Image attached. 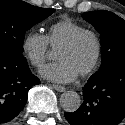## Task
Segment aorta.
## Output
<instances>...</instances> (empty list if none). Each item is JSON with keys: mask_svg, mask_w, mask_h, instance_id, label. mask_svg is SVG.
Wrapping results in <instances>:
<instances>
[{"mask_svg": "<svg viewBox=\"0 0 125 125\" xmlns=\"http://www.w3.org/2000/svg\"><path fill=\"white\" fill-rule=\"evenodd\" d=\"M60 105L66 112H74L81 105V98L75 91H66L61 95Z\"/></svg>", "mask_w": 125, "mask_h": 125, "instance_id": "obj_1", "label": "aorta"}]
</instances>
